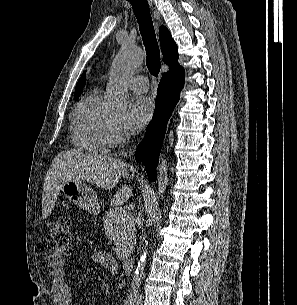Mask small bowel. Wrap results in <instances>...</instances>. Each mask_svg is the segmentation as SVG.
Returning <instances> with one entry per match:
<instances>
[{
  "mask_svg": "<svg viewBox=\"0 0 297 305\" xmlns=\"http://www.w3.org/2000/svg\"><path fill=\"white\" fill-rule=\"evenodd\" d=\"M92 261L105 266L111 273L118 272V266L112 256L105 252H95ZM48 267L52 276V291L60 305H76L71 287L66 279L65 259L60 255L48 257ZM93 292H89L92 295Z\"/></svg>",
  "mask_w": 297,
  "mask_h": 305,
  "instance_id": "1",
  "label": "small bowel"
}]
</instances>
